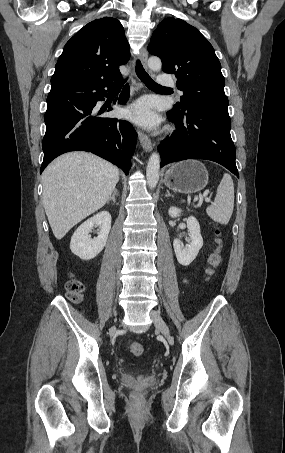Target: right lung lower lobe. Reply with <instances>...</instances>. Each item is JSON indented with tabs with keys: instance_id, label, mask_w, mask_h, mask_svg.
<instances>
[{
	"instance_id": "98d812e1",
	"label": "right lung lower lobe",
	"mask_w": 285,
	"mask_h": 453,
	"mask_svg": "<svg viewBox=\"0 0 285 453\" xmlns=\"http://www.w3.org/2000/svg\"><path fill=\"white\" fill-rule=\"evenodd\" d=\"M119 81L99 85L80 82L51 85L44 117L46 133L40 173L57 156L76 150L92 152L129 173L137 133L125 120L100 118L93 112L96 103L103 101L106 92L114 89ZM128 98L129 86L126 85L118 101L126 102Z\"/></svg>"
}]
</instances>
